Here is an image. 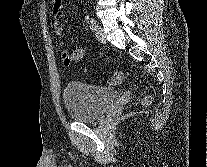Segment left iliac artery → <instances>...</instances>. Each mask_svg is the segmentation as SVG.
Listing matches in <instances>:
<instances>
[{"instance_id": "obj_1", "label": "left iliac artery", "mask_w": 207, "mask_h": 167, "mask_svg": "<svg viewBox=\"0 0 207 167\" xmlns=\"http://www.w3.org/2000/svg\"><path fill=\"white\" fill-rule=\"evenodd\" d=\"M89 24H90V29L92 31H94L96 29V26H97L95 19L94 18H91L90 21H89Z\"/></svg>"}]
</instances>
